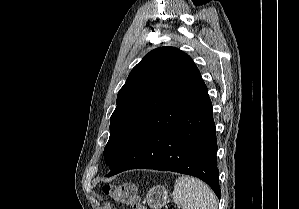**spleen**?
<instances>
[{
	"mask_svg": "<svg viewBox=\"0 0 299 209\" xmlns=\"http://www.w3.org/2000/svg\"><path fill=\"white\" fill-rule=\"evenodd\" d=\"M173 201L183 209H217V199L211 188L201 180L181 176L175 180Z\"/></svg>",
	"mask_w": 299,
	"mask_h": 209,
	"instance_id": "1",
	"label": "spleen"
}]
</instances>
